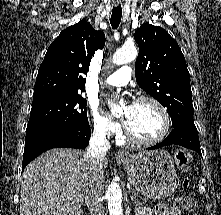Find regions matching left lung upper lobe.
<instances>
[{
	"label": "left lung upper lobe",
	"instance_id": "1",
	"mask_svg": "<svg viewBox=\"0 0 221 215\" xmlns=\"http://www.w3.org/2000/svg\"><path fill=\"white\" fill-rule=\"evenodd\" d=\"M134 39L139 46L138 85L167 108L173 128L195 127L190 75L177 42L166 30L149 23L135 31Z\"/></svg>",
	"mask_w": 221,
	"mask_h": 215
}]
</instances>
